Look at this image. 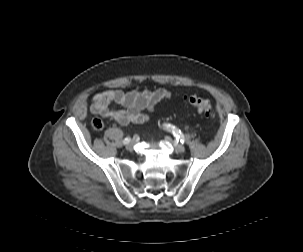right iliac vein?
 Here are the masks:
<instances>
[{
  "instance_id": "1",
  "label": "right iliac vein",
  "mask_w": 303,
  "mask_h": 252,
  "mask_svg": "<svg viewBox=\"0 0 303 252\" xmlns=\"http://www.w3.org/2000/svg\"><path fill=\"white\" fill-rule=\"evenodd\" d=\"M134 144H135L134 141H130L129 143L126 144V149L128 151H131L134 147Z\"/></svg>"
}]
</instances>
